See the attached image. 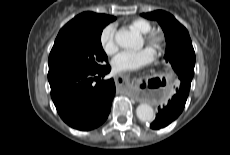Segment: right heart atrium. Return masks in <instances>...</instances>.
<instances>
[{
	"label": "right heart atrium",
	"instance_id": "d8ad5b80",
	"mask_svg": "<svg viewBox=\"0 0 230 155\" xmlns=\"http://www.w3.org/2000/svg\"><path fill=\"white\" fill-rule=\"evenodd\" d=\"M100 45L107 55H112L117 51L118 45L115 37V27L113 25H108L101 31Z\"/></svg>",
	"mask_w": 230,
	"mask_h": 155
}]
</instances>
